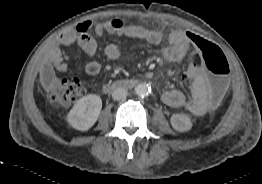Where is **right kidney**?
Returning a JSON list of instances; mask_svg holds the SVG:
<instances>
[{
	"instance_id": "ca27d5eb",
	"label": "right kidney",
	"mask_w": 262,
	"mask_h": 184,
	"mask_svg": "<svg viewBox=\"0 0 262 184\" xmlns=\"http://www.w3.org/2000/svg\"><path fill=\"white\" fill-rule=\"evenodd\" d=\"M102 108L100 96L89 94L80 98L68 113L70 125L80 131H86L97 121Z\"/></svg>"
}]
</instances>
